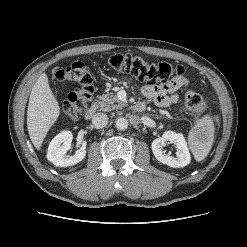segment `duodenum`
Returning <instances> with one entry per match:
<instances>
[{
  "label": "duodenum",
  "mask_w": 247,
  "mask_h": 247,
  "mask_svg": "<svg viewBox=\"0 0 247 247\" xmlns=\"http://www.w3.org/2000/svg\"><path fill=\"white\" fill-rule=\"evenodd\" d=\"M145 107H146V105L144 102H137L132 106L133 110L136 112L144 111ZM96 112H97V107L95 105H92L85 112V118L88 120L91 119L95 115Z\"/></svg>",
  "instance_id": "410a0bca"
}]
</instances>
